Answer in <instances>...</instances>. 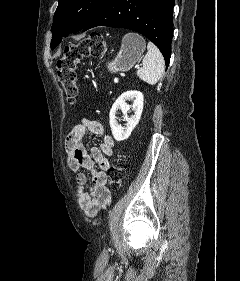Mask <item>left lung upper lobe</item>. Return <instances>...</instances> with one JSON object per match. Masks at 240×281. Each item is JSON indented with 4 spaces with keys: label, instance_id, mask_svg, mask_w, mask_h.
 <instances>
[{
    "label": "left lung upper lobe",
    "instance_id": "5c2ea615",
    "mask_svg": "<svg viewBox=\"0 0 240 281\" xmlns=\"http://www.w3.org/2000/svg\"><path fill=\"white\" fill-rule=\"evenodd\" d=\"M105 0H59L51 31L53 50L69 33L82 30Z\"/></svg>",
    "mask_w": 240,
    "mask_h": 281
}]
</instances>
